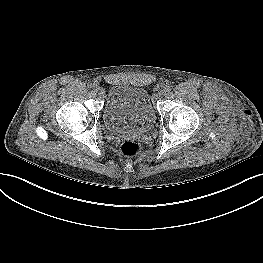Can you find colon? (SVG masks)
<instances>
[{"instance_id": "1", "label": "colon", "mask_w": 263, "mask_h": 263, "mask_svg": "<svg viewBox=\"0 0 263 263\" xmlns=\"http://www.w3.org/2000/svg\"><path fill=\"white\" fill-rule=\"evenodd\" d=\"M140 146L134 141H125L121 145V153L125 157H134L140 153Z\"/></svg>"}]
</instances>
